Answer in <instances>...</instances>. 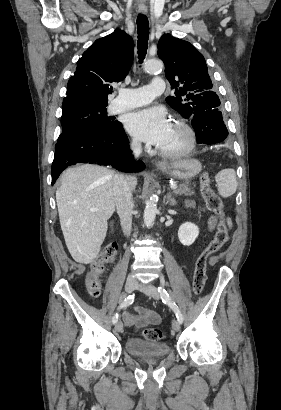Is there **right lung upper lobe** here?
Returning a JSON list of instances; mask_svg holds the SVG:
<instances>
[{
	"instance_id": "obj_1",
	"label": "right lung upper lobe",
	"mask_w": 281,
	"mask_h": 410,
	"mask_svg": "<svg viewBox=\"0 0 281 410\" xmlns=\"http://www.w3.org/2000/svg\"><path fill=\"white\" fill-rule=\"evenodd\" d=\"M133 56V40L120 29L97 39L78 60L63 106L76 103L107 105L108 95L113 90L111 83L125 78Z\"/></svg>"
}]
</instances>
